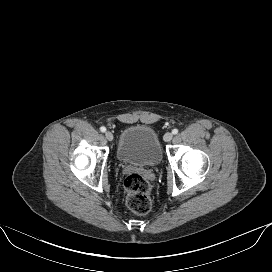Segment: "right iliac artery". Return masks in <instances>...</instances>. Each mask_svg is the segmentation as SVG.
I'll use <instances>...</instances> for the list:
<instances>
[{"label": "right iliac artery", "instance_id": "82829eb1", "mask_svg": "<svg viewBox=\"0 0 272 272\" xmlns=\"http://www.w3.org/2000/svg\"><path fill=\"white\" fill-rule=\"evenodd\" d=\"M100 131L101 132H105L106 131V128L104 126L100 127Z\"/></svg>", "mask_w": 272, "mask_h": 272}]
</instances>
